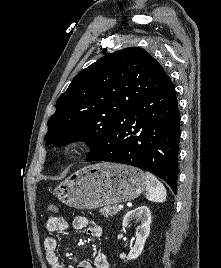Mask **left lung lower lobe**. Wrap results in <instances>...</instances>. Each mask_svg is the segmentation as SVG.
Returning a JSON list of instances; mask_svg holds the SVG:
<instances>
[{"label": "left lung lower lobe", "mask_w": 221, "mask_h": 268, "mask_svg": "<svg viewBox=\"0 0 221 268\" xmlns=\"http://www.w3.org/2000/svg\"><path fill=\"white\" fill-rule=\"evenodd\" d=\"M180 113L172 82L118 120L99 152L87 161L119 162L146 169L176 191Z\"/></svg>", "instance_id": "0a47b994"}]
</instances>
